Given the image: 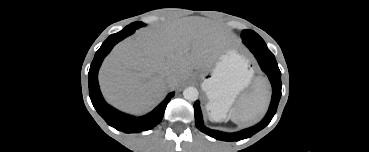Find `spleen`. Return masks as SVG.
<instances>
[{
	"instance_id": "spleen-1",
	"label": "spleen",
	"mask_w": 369,
	"mask_h": 152,
	"mask_svg": "<svg viewBox=\"0 0 369 152\" xmlns=\"http://www.w3.org/2000/svg\"><path fill=\"white\" fill-rule=\"evenodd\" d=\"M270 94L266 88L256 86L254 91L241 98L229 113L231 120L239 125H249L258 121L266 112Z\"/></svg>"
}]
</instances>
